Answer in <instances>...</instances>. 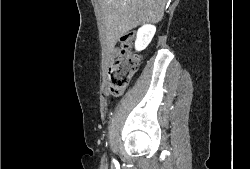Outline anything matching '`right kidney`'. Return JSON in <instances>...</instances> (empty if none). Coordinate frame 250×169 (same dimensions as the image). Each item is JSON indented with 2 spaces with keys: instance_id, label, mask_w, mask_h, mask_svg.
Here are the masks:
<instances>
[{
  "instance_id": "ca27d5eb",
  "label": "right kidney",
  "mask_w": 250,
  "mask_h": 169,
  "mask_svg": "<svg viewBox=\"0 0 250 169\" xmlns=\"http://www.w3.org/2000/svg\"><path fill=\"white\" fill-rule=\"evenodd\" d=\"M155 32L156 26H154V24H143L137 32L135 40L136 50H144V48L148 46L149 42H151Z\"/></svg>"
}]
</instances>
